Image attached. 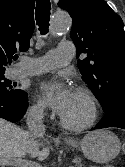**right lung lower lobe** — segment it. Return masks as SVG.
I'll list each match as a JSON object with an SVG mask.
<instances>
[{"instance_id": "right-lung-lower-lobe-1", "label": "right lung lower lobe", "mask_w": 125, "mask_h": 167, "mask_svg": "<svg viewBox=\"0 0 125 167\" xmlns=\"http://www.w3.org/2000/svg\"><path fill=\"white\" fill-rule=\"evenodd\" d=\"M27 106L28 98L25 92L16 98H10L3 92H0V118L17 122L26 113Z\"/></svg>"}]
</instances>
